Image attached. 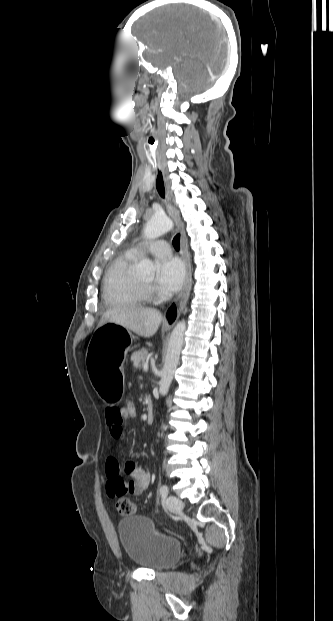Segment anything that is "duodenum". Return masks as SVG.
I'll return each instance as SVG.
<instances>
[{
	"label": "duodenum",
	"mask_w": 333,
	"mask_h": 621,
	"mask_svg": "<svg viewBox=\"0 0 333 621\" xmlns=\"http://www.w3.org/2000/svg\"><path fill=\"white\" fill-rule=\"evenodd\" d=\"M154 418V411H153V407L150 403H148L147 406V421L148 422H152Z\"/></svg>",
	"instance_id": "1"
}]
</instances>
